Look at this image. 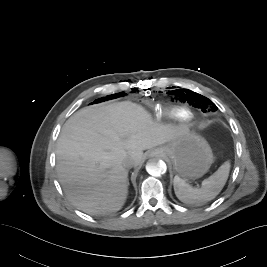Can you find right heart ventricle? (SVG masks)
<instances>
[{
    "label": "right heart ventricle",
    "mask_w": 267,
    "mask_h": 267,
    "mask_svg": "<svg viewBox=\"0 0 267 267\" xmlns=\"http://www.w3.org/2000/svg\"><path fill=\"white\" fill-rule=\"evenodd\" d=\"M175 116L181 121H188L191 118V113L184 108H179L174 112Z\"/></svg>",
    "instance_id": "obj_1"
}]
</instances>
